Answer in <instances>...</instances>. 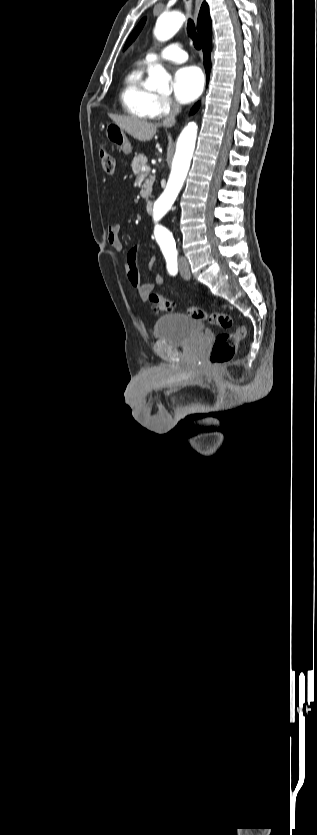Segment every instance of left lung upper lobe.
I'll list each match as a JSON object with an SVG mask.
<instances>
[{
	"mask_svg": "<svg viewBox=\"0 0 317 835\" xmlns=\"http://www.w3.org/2000/svg\"><path fill=\"white\" fill-rule=\"evenodd\" d=\"M144 23H145V18H144V19H142V20L139 22V24L137 25V27L134 29V31L131 33V35H130V36H129V38L127 39L126 44H125V47H124V50H125V49H126V48H127V47H128V46H129V45H130V44H131L134 40H135V39H136V37H137V36H138V34L140 33V31H141V29H142V27H143Z\"/></svg>",
	"mask_w": 317,
	"mask_h": 835,
	"instance_id": "left-lung-upper-lobe-1",
	"label": "left lung upper lobe"
}]
</instances>
